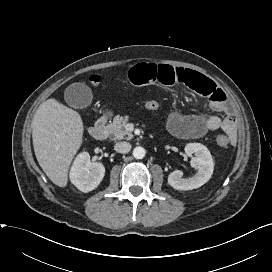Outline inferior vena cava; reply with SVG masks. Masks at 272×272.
<instances>
[{
  "instance_id": "inferior-vena-cava-1",
  "label": "inferior vena cava",
  "mask_w": 272,
  "mask_h": 272,
  "mask_svg": "<svg viewBox=\"0 0 272 272\" xmlns=\"http://www.w3.org/2000/svg\"><path fill=\"white\" fill-rule=\"evenodd\" d=\"M114 149L118 153H128L131 150V144L129 142H118L115 144Z\"/></svg>"
}]
</instances>
